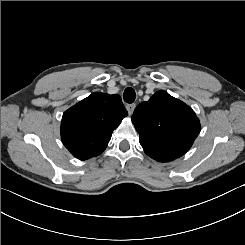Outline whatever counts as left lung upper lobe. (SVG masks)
Instances as JSON below:
<instances>
[{"instance_id": "5c2ea615", "label": "left lung upper lobe", "mask_w": 245, "mask_h": 245, "mask_svg": "<svg viewBox=\"0 0 245 245\" xmlns=\"http://www.w3.org/2000/svg\"><path fill=\"white\" fill-rule=\"evenodd\" d=\"M132 122L145 153L160 162L184 155L200 132V122L192 108L164 90L140 103Z\"/></svg>"}]
</instances>
